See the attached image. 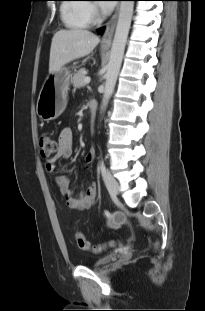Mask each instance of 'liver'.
Segmentation results:
<instances>
[{"label":"liver","instance_id":"liver-1","mask_svg":"<svg viewBox=\"0 0 205 311\" xmlns=\"http://www.w3.org/2000/svg\"><path fill=\"white\" fill-rule=\"evenodd\" d=\"M99 42L97 35L84 29L56 32L50 48L49 72L59 71L70 61L89 55Z\"/></svg>","mask_w":205,"mask_h":311}]
</instances>
